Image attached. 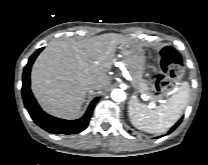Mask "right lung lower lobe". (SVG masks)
<instances>
[{"label": "right lung lower lobe", "instance_id": "right-lung-lower-lobe-1", "mask_svg": "<svg viewBox=\"0 0 208 165\" xmlns=\"http://www.w3.org/2000/svg\"><path fill=\"white\" fill-rule=\"evenodd\" d=\"M43 48L38 49L28 60L27 65L24 68L23 72V85H22V96L24 100L25 107L30 114L34 122L48 132H54L56 134H74L79 133L86 129L88 126L92 111L94 109L95 103L98 101V98L94 99L85 115L77 120L68 121L63 119H58L53 116H50L43 112L39 105L37 104L33 94L30 90V71L31 66L42 51Z\"/></svg>", "mask_w": 208, "mask_h": 165}]
</instances>
